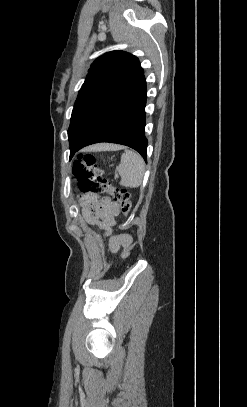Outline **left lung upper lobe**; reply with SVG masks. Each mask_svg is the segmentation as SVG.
Returning <instances> with one entry per match:
<instances>
[{"instance_id":"obj_1","label":"left lung upper lobe","mask_w":247,"mask_h":407,"mask_svg":"<svg viewBox=\"0 0 247 407\" xmlns=\"http://www.w3.org/2000/svg\"><path fill=\"white\" fill-rule=\"evenodd\" d=\"M142 74L138 58L123 51H111L95 60L72 111L70 157L104 109Z\"/></svg>"}]
</instances>
